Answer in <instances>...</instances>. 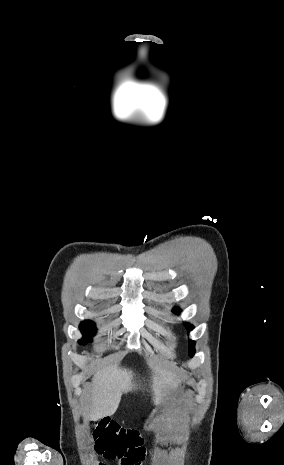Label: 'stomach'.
Segmentation results:
<instances>
[{"label": "stomach", "instance_id": "stomach-1", "mask_svg": "<svg viewBox=\"0 0 284 465\" xmlns=\"http://www.w3.org/2000/svg\"><path fill=\"white\" fill-rule=\"evenodd\" d=\"M177 389H179V393H183L185 389L184 381H181V383H179ZM161 419H162L161 409H159L158 407V409H154L153 413H151L150 417H148L147 421H145L144 423L145 431H154L157 425H159Z\"/></svg>", "mask_w": 284, "mask_h": 465}]
</instances>
